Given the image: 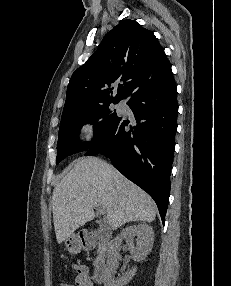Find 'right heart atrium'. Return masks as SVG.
<instances>
[{
  "mask_svg": "<svg viewBox=\"0 0 231 286\" xmlns=\"http://www.w3.org/2000/svg\"><path fill=\"white\" fill-rule=\"evenodd\" d=\"M82 135L85 142L90 145L94 146L97 143V125L94 121H86L82 125Z\"/></svg>",
  "mask_w": 231,
  "mask_h": 286,
  "instance_id": "1",
  "label": "right heart atrium"
}]
</instances>
